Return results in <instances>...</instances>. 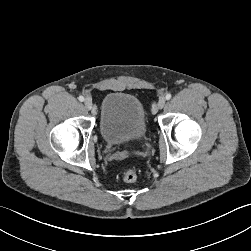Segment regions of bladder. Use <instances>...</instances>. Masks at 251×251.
Here are the masks:
<instances>
[{"instance_id": "31cf9c89", "label": "bladder", "mask_w": 251, "mask_h": 251, "mask_svg": "<svg viewBox=\"0 0 251 251\" xmlns=\"http://www.w3.org/2000/svg\"><path fill=\"white\" fill-rule=\"evenodd\" d=\"M148 130L141 101L124 92H111L101 103L99 131L108 144L142 140Z\"/></svg>"}]
</instances>
